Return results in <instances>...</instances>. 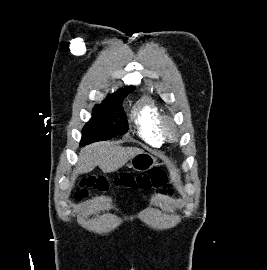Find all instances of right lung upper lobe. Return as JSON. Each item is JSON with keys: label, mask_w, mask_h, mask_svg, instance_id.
Segmentation results:
<instances>
[{"label": "right lung upper lobe", "mask_w": 267, "mask_h": 270, "mask_svg": "<svg viewBox=\"0 0 267 270\" xmlns=\"http://www.w3.org/2000/svg\"><path fill=\"white\" fill-rule=\"evenodd\" d=\"M134 87H126L125 89H119L116 93H121V92H124V91H127V90H131L133 89Z\"/></svg>", "instance_id": "obj_1"}]
</instances>
